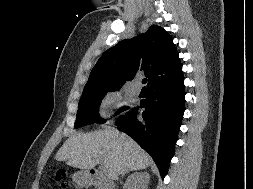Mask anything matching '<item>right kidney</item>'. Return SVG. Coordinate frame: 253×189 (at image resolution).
Segmentation results:
<instances>
[{
    "label": "right kidney",
    "instance_id": "1",
    "mask_svg": "<svg viewBox=\"0 0 253 189\" xmlns=\"http://www.w3.org/2000/svg\"><path fill=\"white\" fill-rule=\"evenodd\" d=\"M150 176L146 172L132 174L126 182V189H148Z\"/></svg>",
    "mask_w": 253,
    "mask_h": 189
}]
</instances>
